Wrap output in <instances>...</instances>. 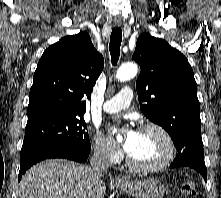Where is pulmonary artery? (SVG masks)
Listing matches in <instances>:
<instances>
[{
    "label": "pulmonary artery",
    "instance_id": "1",
    "mask_svg": "<svg viewBox=\"0 0 221 198\" xmlns=\"http://www.w3.org/2000/svg\"><path fill=\"white\" fill-rule=\"evenodd\" d=\"M132 97V90L129 87H125L104 103L103 110L107 113H116L124 110L130 105Z\"/></svg>",
    "mask_w": 221,
    "mask_h": 198
}]
</instances>
